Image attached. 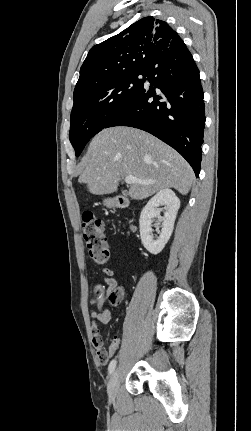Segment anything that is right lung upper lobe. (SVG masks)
Returning <instances> with one entry per match:
<instances>
[{
  "label": "right lung upper lobe",
  "instance_id": "1",
  "mask_svg": "<svg viewBox=\"0 0 251 431\" xmlns=\"http://www.w3.org/2000/svg\"><path fill=\"white\" fill-rule=\"evenodd\" d=\"M185 46L166 22L145 17L121 33L95 45L80 69L74 95L120 75L147 69L157 57Z\"/></svg>",
  "mask_w": 251,
  "mask_h": 431
}]
</instances>
